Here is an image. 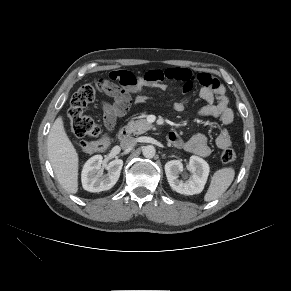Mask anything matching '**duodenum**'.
Here are the masks:
<instances>
[{
  "label": "duodenum",
  "mask_w": 291,
  "mask_h": 291,
  "mask_svg": "<svg viewBox=\"0 0 291 291\" xmlns=\"http://www.w3.org/2000/svg\"><path fill=\"white\" fill-rule=\"evenodd\" d=\"M130 136V130L128 127H123L119 130L118 138L123 141L126 140Z\"/></svg>",
  "instance_id": "obj_1"
}]
</instances>
